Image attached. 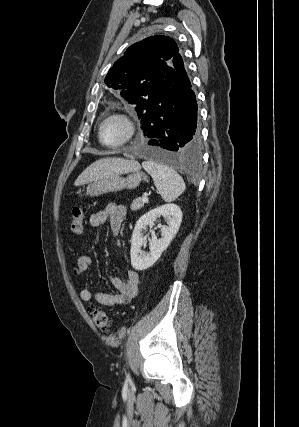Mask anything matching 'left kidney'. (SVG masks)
<instances>
[{
  "label": "left kidney",
  "mask_w": 299,
  "mask_h": 427,
  "mask_svg": "<svg viewBox=\"0 0 299 427\" xmlns=\"http://www.w3.org/2000/svg\"><path fill=\"white\" fill-rule=\"evenodd\" d=\"M163 216L167 226H162L161 238L157 239L152 233L150 241V252L142 253L141 247L146 242L147 237L143 236L142 231L153 227L158 217ZM182 222V211L176 204H164L154 208L142 215L137 221L131 239V265L135 270L142 271L150 268L170 245L177 234Z\"/></svg>",
  "instance_id": "1"
}]
</instances>
